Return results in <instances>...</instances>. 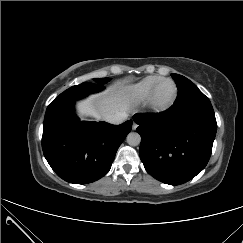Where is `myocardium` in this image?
Returning a JSON list of instances; mask_svg holds the SVG:
<instances>
[{
	"instance_id": "1",
	"label": "myocardium",
	"mask_w": 243,
	"mask_h": 243,
	"mask_svg": "<svg viewBox=\"0 0 243 243\" xmlns=\"http://www.w3.org/2000/svg\"><path fill=\"white\" fill-rule=\"evenodd\" d=\"M167 82H170L173 84L174 95H173L172 99L170 101H168L167 103L159 104L156 101L157 92H158L159 88ZM177 97H178V87H177L176 82L173 79L164 78L159 83H157L156 86L151 91L149 98L147 100V105H148L149 109L152 110L153 112L161 113V112H164V111L168 110L169 108H171L173 106V104L175 103Z\"/></svg>"
}]
</instances>
